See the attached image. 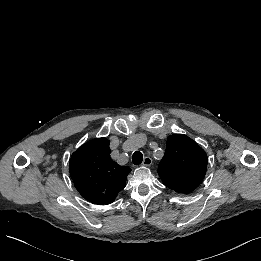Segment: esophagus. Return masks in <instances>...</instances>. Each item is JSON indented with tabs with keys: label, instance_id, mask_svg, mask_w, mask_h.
<instances>
[{
	"label": "esophagus",
	"instance_id": "1",
	"mask_svg": "<svg viewBox=\"0 0 261 261\" xmlns=\"http://www.w3.org/2000/svg\"><path fill=\"white\" fill-rule=\"evenodd\" d=\"M143 166H150L152 164V159L148 156H146L143 160Z\"/></svg>",
	"mask_w": 261,
	"mask_h": 261
}]
</instances>
